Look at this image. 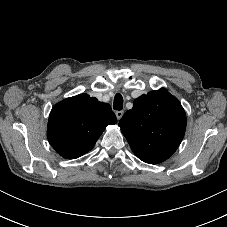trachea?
<instances>
[{
  "label": "trachea",
  "instance_id": "1",
  "mask_svg": "<svg viewBox=\"0 0 227 227\" xmlns=\"http://www.w3.org/2000/svg\"><path fill=\"white\" fill-rule=\"evenodd\" d=\"M113 108L118 111L123 109V97L120 93H117L114 97Z\"/></svg>",
  "mask_w": 227,
  "mask_h": 227
}]
</instances>
